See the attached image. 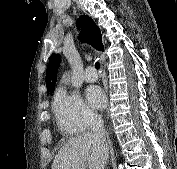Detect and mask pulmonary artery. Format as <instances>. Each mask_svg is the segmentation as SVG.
Wrapping results in <instances>:
<instances>
[{
    "label": "pulmonary artery",
    "mask_w": 177,
    "mask_h": 169,
    "mask_svg": "<svg viewBox=\"0 0 177 169\" xmlns=\"http://www.w3.org/2000/svg\"><path fill=\"white\" fill-rule=\"evenodd\" d=\"M83 78L86 82H94L98 79V73L94 67L89 66L84 70Z\"/></svg>",
    "instance_id": "e3ab8cb5"
}]
</instances>
